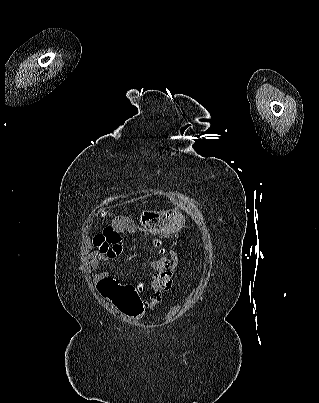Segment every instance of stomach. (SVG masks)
Returning <instances> with one entry per match:
<instances>
[{
    "instance_id": "1",
    "label": "stomach",
    "mask_w": 319,
    "mask_h": 403,
    "mask_svg": "<svg viewBox=\"0 0 319 403\" xmlns=\"http://www.w3.org/2000/svg\"><path fill=\"white\" fill-rule=\"evenodd\" d=\"M141 228H145L148 234H173L184 225V217L178 210L164 212H152L140 210L138 213Z\"/></svg>"
}]
</instances>
